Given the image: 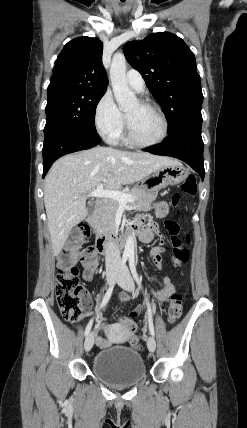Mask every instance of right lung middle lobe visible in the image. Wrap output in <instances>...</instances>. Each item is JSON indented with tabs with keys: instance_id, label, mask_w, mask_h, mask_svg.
<instances>
[{
	"instance_id": "right-lung-middle-lobe-1",
	"label": "right lung middle lobe",
	"mask_w": 247,
	"mask_h": 428,
	"mask_svg": "<svg viewBox=\"0 0 247 428\" xmlns=\"http://www.w3.org/2000/svg\"><path fill=\"white\" fill-rule=\"evenodd\" d=\"M105 91L63 89L48 93L44 132L54 128H71L97 133L96 107Z\"/></svg>"
}]
</instances>
